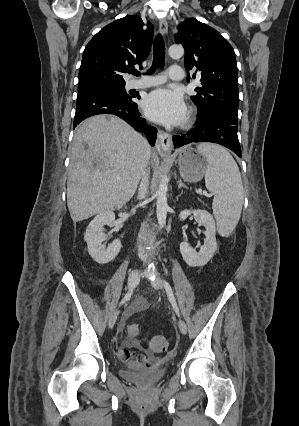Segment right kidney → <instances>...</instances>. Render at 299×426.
Masks as SVG:
<instances>
[{"label":"right kidney","instance_id":"right-kidney-1","mask_svg":"<svg viewBox=\"0 0 299 426\" xmlns=\"http://www.w3.org/2000/svg\"><path fill=\"white\" fill-rule=\"evenodd\" d=\"M115 220V214L112 211L100 213L89 223L84 240L87 242L88 253L99 264H106L112 261L120 252L122 247L119 239L114 240L108 247L102 243L105 240L103 233L105 225H111Z\"/></svg>","mask_w":299,"mask_h":426}]
</instances>
